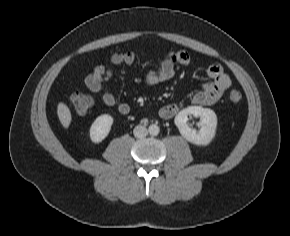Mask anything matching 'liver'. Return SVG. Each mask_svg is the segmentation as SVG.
Here are the masks:
<instances>
[{
  "label": "liver",
  "instance_id": "6515ba94",
  "mask_svg": "<svg viewBox=\"0 0 290 236\" xmlns=\"http://www.w3.org/2000/svg\"><path fill=\"white\" fill-rule=\"evenodd\" d=\"M57 115L58 118L62 124V126L64 128H68L71 120H72V116H71V112L70 109L68 108V106L62 102H60L57 106Z\"/></svg>",
  "mask_w": 290,
  "mask_h": 236
}]
</instances>
